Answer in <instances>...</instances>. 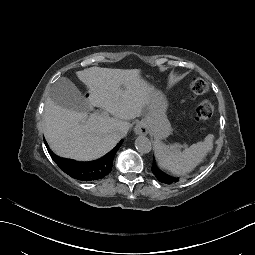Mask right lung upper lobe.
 <instances>
[{"label": "right lung upper lobe", "instance_id": "right-lung-upper-lobe-1", "mask_svg": "<svg viewBox=\"0 0 255 255\" xmlns=\"http://www.w3.org/2000/svg\"><path fill=\"white\" fill-rule=\"evenodd\" d=\"M122 141H120L114 149H112L108 154H106L101 159L92 162H76L74 160L61 158L55 155L47 146L48 152L53 159V161L69 176L79 179L81 181H93L98 180L106 175H108L112 170L113 159L120 148ZM86 166H91L93 168V173L91 175H86L84 173V168Z\"/></svg>", "mask_w": 255, "mask_h": 255}]
</instances>
